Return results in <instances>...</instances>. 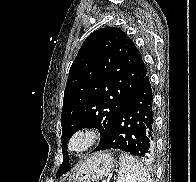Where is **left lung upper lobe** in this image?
I'll return each instance as SVG.
<instances>
[{"label":"left lung upper lobe","instance_id":"obj_1","mask_svg":"<svg viewBox=\"0 0 196 182\" xmlns=\"http://www.w3.org/2000/svg\"><path fill=\"white\" fill-rule=\"evenodd\" d=\"M147 69L140 51L115 27L96 30L82 44L67 79L61 115L63 163L56 178L70 170L69 138L82 128H97L100 146L121 107L140 86ZM67 158V160H66Z\"/></svg>","mask_w":196,"mask_h":182}]
</instances>
